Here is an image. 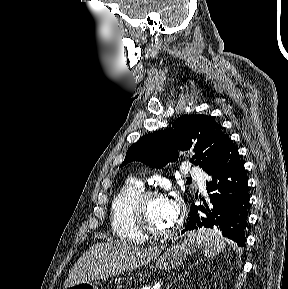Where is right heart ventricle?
Listing matches in <instances>:
<instances>
[{
  "instance_id": "right-heart-ventricle-1",
  "label": "right heart ventricle",
  "mask_w": 288,
  "mask_h": 289,
  "mask_svg": "<svg viewBox=\"0 0 288 289\" xmlns=\"http://www.w3.org/2000/svg\"><path fill=\"white\" fill-rule=\"evenodd\" d=\"M143 191V186L135 180H128L114 195L110 207V225L113 235L124 244L140 245L146 237L132 226L130 207L134 199Z\"/></svg>"
}]
</instances>
